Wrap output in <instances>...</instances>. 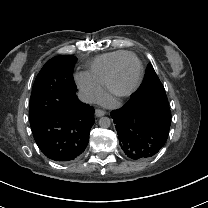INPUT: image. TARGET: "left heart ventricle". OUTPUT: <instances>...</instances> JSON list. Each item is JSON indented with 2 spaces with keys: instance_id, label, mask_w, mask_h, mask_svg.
<instances>
[{
  "instance_id": "1",
  "label": "left heart ventricle",
  "mask_w": 208,
  "mask_h": 208,
  "mask_svg": "<svg viewBox=\"0 0 208 208\" xmlns=\"http://www.w3.org/2000/svg\"><path fill=\"white\" fill-rule=\"evenodd\" d=\"M139 74V63L135 59L128 61L120 70L117 79V86L120 89H127L134 84Z\"/></svg>"
}]
</instances>
